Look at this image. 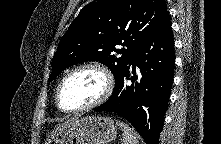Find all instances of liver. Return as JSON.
I'll use <instances>...</instances> for the list:
<instances>
[{"mask_svg": "<svg viewBox=\"0 0 221 144\" xmlns=\"http://www.w3.org/2000/svg\"><path fill=\"white\" fill-rule=\"evenodd\" d=\"M73 119H75V118L69 119V120H67V121L64 122V123L57 125V130L61 129L62 127H65V126H66L69 122H71Z\"/></svg>", "mask_w": 221, "mask_h": 144, "instance_id": "6515ba94", "label": "liver"}]
</instances>
